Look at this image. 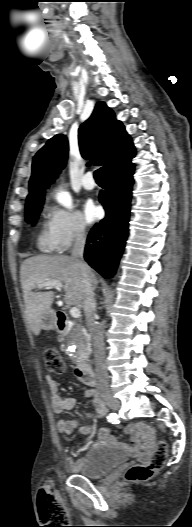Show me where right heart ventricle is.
<instances>
[{"mask_svg":"<svg viewBox=\"0 0 192 527\" xmlns=\"http://www.w3.org/2000/svg\"><path fill=\"white\" fill-rule=\"evenodd\" d=\"M37 244L40 250H42L43 252H52L55 250L48 231V227H44L40 231L37 238Z\"/></svg>","mask_w":192,"mask_h":527,"instance_id":"obj_1","label":"right heart ventricle"}]
</instances>
